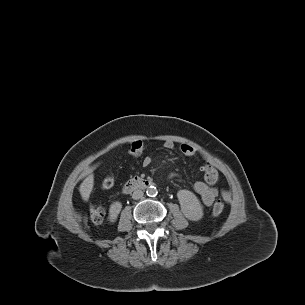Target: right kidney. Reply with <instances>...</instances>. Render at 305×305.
I'll return each mask as SVG.
<instances>
[{
  "label": "right kidney",
  "mask_w": 305,
  "mask_h": 305,
  "mask_svg": "<svg viewBox=\"0 0 305 305\" xmlns=\"http://www.w3.org/2000/svg\"><path fill=\"white\" fill-rule=\"evenodd\" d=\"M122 204L119 201L113 202L109 208V220L110 222H115L118 214L120 213Z\"/></svg>",
  "instance_id": "ca27d5eb"
}]
</instances>
